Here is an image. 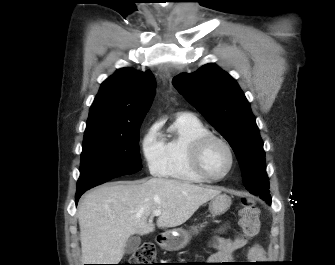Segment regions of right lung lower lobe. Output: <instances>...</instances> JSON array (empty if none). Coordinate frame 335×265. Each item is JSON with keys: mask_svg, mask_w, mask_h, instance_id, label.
I'll list each match as a JSON object with an SVG mask.
<instances>
[{"mask_svg": "<svg viewBox=\"0 0 335 265\" xmlns=\"http://www.w3.org/2000/svg\"><path fill=\"white\" fill-rule=\"evenodd\" d=\"M86 190H88V189H85V190H81V191H78L77 193H76V204H77V202H78V200H79V198L81 197V195L86 191Z\"/></svg>", "mask_w": 335, "mask_h": 265, "instance_id": "right-lung-lower-lobe-1", "label": "right lung lower lobe"}]
</instances>
